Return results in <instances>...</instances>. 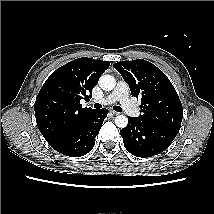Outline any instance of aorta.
<instances>
[{
  "label": "aorta",
  "instance_id": "1",
  "mask_svg": "<svg viewBox=\"0 0 214 214\" xmlns=\"http://www.w3.org/2000/svg\"><path fill=\"white\" fill-rule=\"evenodd\" d=\"M100 87L105 91H111L116 86V80L111 75H102L99 79ZM115 124L119 128H125L128 124V118L125 115H118L115 118Z\"/></svg>",
  "mask_w": 214,
  "mask_h": 214
}]
</instances>
